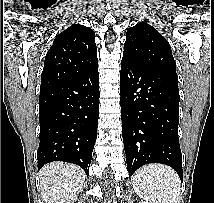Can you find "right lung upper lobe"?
<instances>
[{"label":"right lung upper lobe","mask_w":214,"mask_h":203,"mask_svg":"<svg viewBox=\"0 0 214 203\" xmlns=\"http://www.w3.org/2000/svg\"><path fill=\"white\" fill-rule=\"evenodd\" d=\"M95 33L74 24L56 36L41 75V90L78 77L98 65Z\"/></svg>","instance_id":"obj_1"}]
</instances>
